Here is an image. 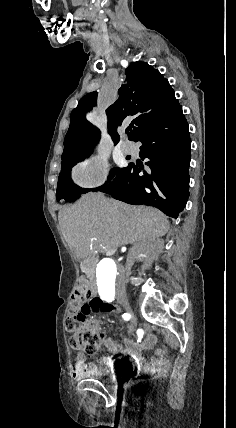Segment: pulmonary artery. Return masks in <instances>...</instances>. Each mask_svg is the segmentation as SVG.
Instances as JSON below:
<instances>
[{"label": "pulmonary artery", "instance_id": "pulmonary-artery-1", "mask_svg": "<svg viewBox=\"0 0 236 428\" xmlns=\"http://www.w3.org/2000/svg\"><path fill=\"white\" fill-rule=\"evenodd\" d=\"M120 149L124 154H132L135 152V145L129 141H123L120 144Z\"/></svg>", "mask_w": 236, "mask_h": 428}]
</instances>
